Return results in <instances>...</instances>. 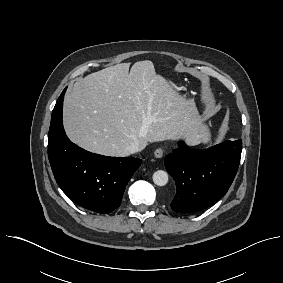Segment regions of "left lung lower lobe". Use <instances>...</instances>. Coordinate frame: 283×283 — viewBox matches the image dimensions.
<instances>
[{"mask_svg":"<svg viewBox=\"0 0 283 283\" xmlns=\"http://www.w3.org/2000/svg\"><path fill=\"white\" fill-rule=\"evenodd\" d=\"M241 151V140H227L205 150H191L180 142L179 149L165 158V167L176 183L171 208L191 213L220 200L234 180Z\"/></svg>","mask_w":283,"mask_h":283,"instance_id":"1","label":"left lung lower lobe"}]
</instances>
